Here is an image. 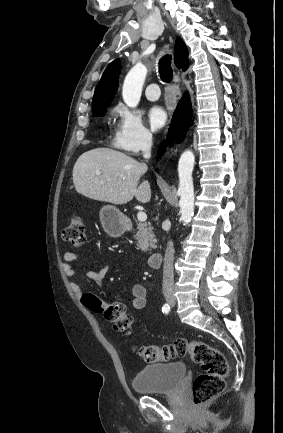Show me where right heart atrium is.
Wrapping results in <instances>:
<instances>
[{"label":"right heart atrium","instance_id":"1","mask_svg":"<svg viewBox=\"0 0 283 433\" xmlns=\"http://www.w3.org/2000/svg\"><path fill=\"white\" fill-rule=\"evenodd\" d=\"M118 122L113 130L111 145L129 155H138L151 148L152 134L144 125L142 115L123 104L114 107Z\"/></svg>","mask_w":283,"mask_h":433}]
</instances>
